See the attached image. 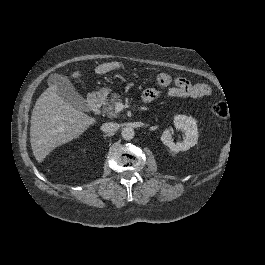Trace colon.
Wrapping results in <instances>:
<instances>
[{
	"instance_id": "1",
	"label": "colon",
	"mask_w": 265,
	"mask_h": 265,
	"mask_svg": "<svg viewBox=\"0 0 265 265\" xmlns=\"http://www.w3.org/2000/svg\"><path fill=\"white\" fill-rule=\"evenodd\" d=\"M156 80L158 85L162 87L169 86L172 82L171 76L167 73H160ZM212 112L217 117H226L229 113L228 105L222 101H218L213 105Z\"/></svg>"
}]
</instances>
